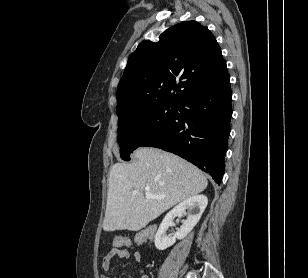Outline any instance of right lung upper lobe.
Listing matches in <instances>:
<instances>
[{
  "instance_id": "right-lung-upper-lobe-1",
  "label": "right lung upper lobe",
  "mask_w": 308,
  "mask_h": 278,
  "mask_svg": "<svg viewBox=\"0 0 308 278\" xmlns=\"http://www.w3.org/2000/svg\"><path fill=\"white\" fill-rule=\"evenodd\" d=\"M228 78L210 30L196 21L180 23L164 31L158 42H141L129 56L117 88L119 121L148 106L179 104Z\"/></svg>"
}]
</instances>
